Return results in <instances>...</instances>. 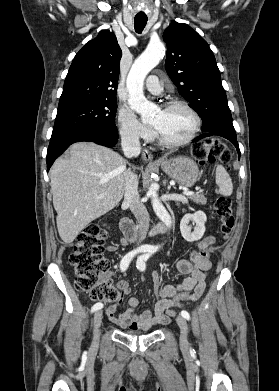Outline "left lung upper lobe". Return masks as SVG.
Here are the masks:
<instances>
[{
    "mask_svg": "<svg viewBox=\"0 0 279 391\" xmlns=\"http://www.w3.org/2000/svg\"><path fill=\"white\" fill-rule=\"evenodd\" d=\"M167 43L165 69L185 98L202 118L206 133L236 134L225 90L212 50L191 27L172 22L164 31Z\"/></svg>",
    "mask_w": 279,
    "mask_h": 391,
    "instance_id": "5c2ea615",
    "label": "left lung upper lobe"
}]
</instances>
